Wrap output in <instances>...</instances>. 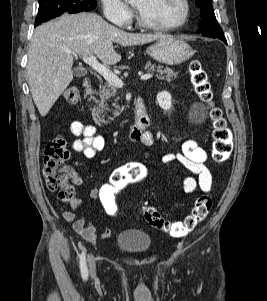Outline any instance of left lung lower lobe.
<instances>
[{
	"mask_svg": "<svg viewBox=\"0 0 267 301\" xmlns=\"http://www.w3.org/2000/svg\"><path fill=\"white\" fill-rule=\"evenodd\" d=\"M220 40H222L225 44H227V41L226 39L223 37V38H219Z\"/></svg>",
	"mask_w": 267,
	"mask_h": 301,
	"instance_id": "0a47b994",
	"label": "left lung lower lobe"
}]
</instances>
